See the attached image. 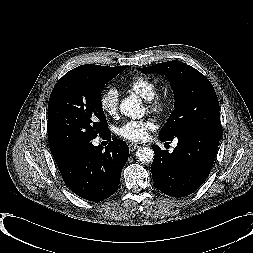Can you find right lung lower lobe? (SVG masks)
Returning a JSON list of instances; mask_svg holds the SVG:
<instances>
[{
    "label": "right lung lower lobe",
    "mask_w": 253,
    "mask_h": 253,
    "mask_svg": "<svg viewBox=\"0 0 253 253\" xmlns=\"http://www.w3.org/2000/svg\"><path fill=\"white\" fill-rule=\"evenodd\" d=\"M101 137L109 142L105 151L91 141L80 143L57 164L67 186L90 201H102L117 191L129 156L124 141L116 138L111 141L110 130Z\"/></svg>",
    "instance_id": "right-lung-lower-lobe-1"
}]
</instances>
